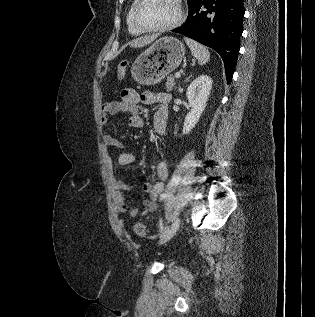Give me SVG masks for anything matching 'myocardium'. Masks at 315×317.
Listing matches in <instances>:
<instances>
[{"instance_id":"f54148a6","label":"myocardium","mask_w":315,"mask_h":317,"mask_svg":"<svg viewBox=\"0 0 315 317\" xmlns=\"http://www.w3.org/2000/svg\"><path fill=\"white\" fill-rule=\"evenodd\" d=\"M143 1L144 0H135L134 6L132 9V17H131L134 27L140 32H143V33L165 32V31H169L178 27L184 21L185 9L183 5V1L176 0L178 13L176 18L172 22L164 26H159V27H143L142 25H140L137 19V11Z\"/></svg>"}]
</instances>
